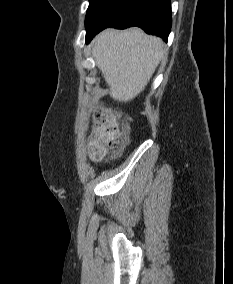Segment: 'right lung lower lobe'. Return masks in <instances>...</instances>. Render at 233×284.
I'll use <instances>...</instances> for the list:
<instances>
[{"mask_svg": "<svg viewBox=\"0 0 233 284\" xmlns=\"http://www.w3.org/2000/svg\"><path fill=\"white\" fill-rule=\"evenodd\" d=\"M171 23L170 0H112L87 27L86 43L105 28L132 26L167 41Z\"/></svg>", "mask_w": 233, "mask_h": 284, "instance_id": "obj_1", "label": "right lung lower lobe"}]
</instances>
